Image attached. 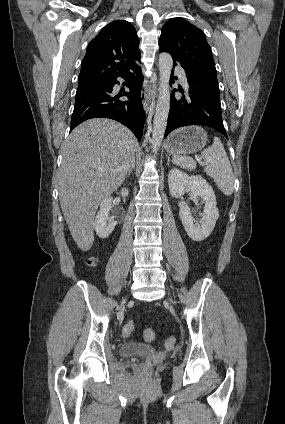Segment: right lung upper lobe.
<instances>
[{"mask_svg": "<svg viewBox=\"0 0 285 424\" xmlns=\"http://www.w3.org/2000/svg\"><path fill=\"white\" fill-rule=\"evenodd\" d=\"M139 39L127 21L116 20L105 26L89 43L81 64L79 85L108 80L130 72L140 61Z\"/></svg>", "mask_w": 285, "mask_h": 424, "instance_id": "obj_1", "label": "right lung upper lobe"}]
</instances>
